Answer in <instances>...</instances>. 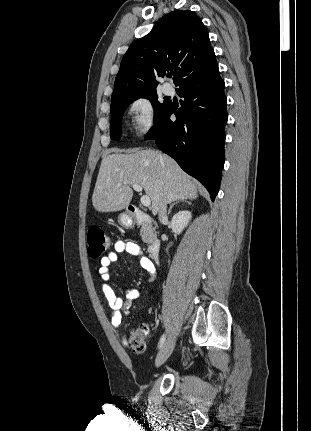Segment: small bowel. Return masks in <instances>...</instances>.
<instances>
[{"mask_svg":"<svg viewBox=\"0 0 311 431\" xmlns=\"http://www.w3.org/2000/svg\"><path fill=\"white\" fill-rule=\"evenodd\" d=\"M126 252L135 257L140 266L150 276L155 272V267L151 260L145 256L139 245L130 241H117L114 245V251L100 259L99 276L102 279V291L108 305L113 310L111 323L115 328H119L123 315H129L134 302L139 299L140 292L137 289H126L124 298L118 297L110 284V265L118 260L120 253ZM123 345H127L128 340H122Z\"/></svg>","mask_w":311,"mask_h":431,"instance_id":"small-bowel-1","label":"small bowel"}]
</instances>
